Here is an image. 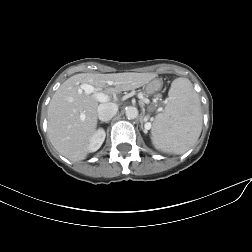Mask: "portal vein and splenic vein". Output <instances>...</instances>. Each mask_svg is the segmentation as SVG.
Wrapping results in <instances>:
<instances>
[{
	"label": "portal vein and splenic vein",
	"mask_w": 252,
	"mask_h": 252,
	"mask_svg": "<svg viewBox=\"0 0 252 252\" xmlns=\"http://www.w3.org/2000/svg\"><path fill=\"white\" fill-rule=\"evenodd\" d=\"M81 89L84 90L87 94H91V93H94L96 99L99 101V102H106L109 100V96L102 93V92H98V90L93 87L92 85H89V84H82L81 86ZM148 127L150 128V123H147Z\"/></svg>",
	"instance_id": "1"
}]
</instances>
